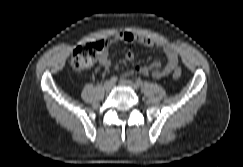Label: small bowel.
<instances>
[{
	"instance_id": "1",
	"label": "small bowel",
	"mask_w": 243,
	"mask_h": 167,
	"mask_svg": "<svg viewBox=\"0 0 243 167\" xmlns=\"http://www.w3.org/2000/svg\"><path fill=\"white\" fill-rule=\"evenodd\" d=\"M117 42L137 43L145 47L158 48L164 52L166 57L164 63L156 61L149 66H137L134 70L125 73L123 78H127L136 73H140L145 76L152 75L155 78H163L169 75L177 67V52L174 47L167 42L139 36L129 31H119L113 37L104 41V47L98 54V62L104 69H109L111 66L109 50L110 47ZM124 58L127 61H132L135 58V54L130 50L126 51L124 53Z\"/></svg>"
}]
</instances>
